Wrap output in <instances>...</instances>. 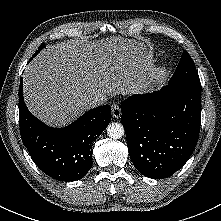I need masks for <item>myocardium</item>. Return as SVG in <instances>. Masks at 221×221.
Segmentation results:
<instances>
[{
    "label": "myocardium",
    "mask_w": 221,
    "mask_h": 221,
    "mask_svg": "<svg viewBox=\"0 0 221 221\" xmlns=\"http://www.w3.org/2000/svg\"><path fill=\"white\" fill-rule=\"evenodd\" d=\"M165 66L160 67V69L155 73V75L151 76V78L144 84V92L152 93L154 92L160 84L163 82L165 77Z\"/></svg>",
    "instance_id": "myocardium-1"
}]
</instances>
